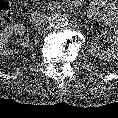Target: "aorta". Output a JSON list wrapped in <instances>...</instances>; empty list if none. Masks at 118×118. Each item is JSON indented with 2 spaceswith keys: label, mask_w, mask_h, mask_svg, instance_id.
<instances>
[{
  "label": "aorta",
  "mask_w": 118,
  "mask_h": 118,
  "mask_svg": "<svg viewBox=\"0 0 118 118\" xmlns=\"http://www.w3.org/2000/svg\"><path fill=\"white\" fill-rule=\"evenodd\" d=\"M49 24L53 27H63L68 24L69 16L56 13L48 17Z\"/></svg>",
  "instance_id": "1"
}]
</instances>
